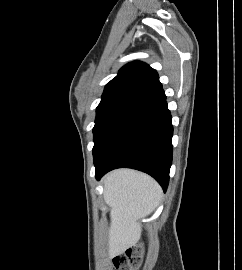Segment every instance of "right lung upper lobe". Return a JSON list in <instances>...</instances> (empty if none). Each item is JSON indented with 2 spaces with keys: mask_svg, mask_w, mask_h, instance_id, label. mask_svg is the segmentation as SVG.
<instances>
[{
  "mask_svg": "<svg viewBox=\"0 0 242 270\" xmlns=\"http://www.w3.org/2000/svg\"><path fill=\"white\" fill-rule=\"evenodd\" d=\"M163 92L157 72L146 63L134 61L105 86L98 107L119 103L139 106Z\"/></svg>",
  "mask_w": 242,
  "mask_h": 270,
  "instance_id": "1",
  "label": "right lung upper lobe"
}]
</instances>
